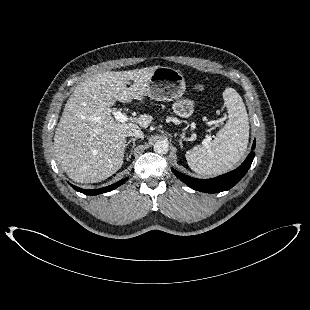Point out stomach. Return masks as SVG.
<instances>
[{"mask_svg":"<svg viewBox=\"0 0 310 310\" xmlns=\"http://www.w3.org/2000/svg\"><path fill=\"white\" fill-rule=\"evenodd\" d=\"M185 90V79L180 70L158 66L150 77L146 95L157 101H173V112L188 118L194 112V101L183 97Z\"/></svg>","mask_w":310,"mask_h":310,"instance_id":"0dacf381","label":"stomach"}]
</instances>
